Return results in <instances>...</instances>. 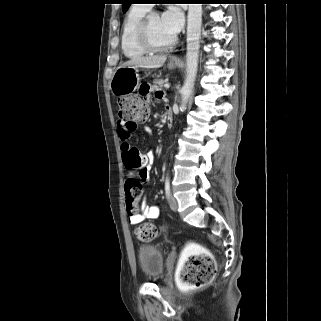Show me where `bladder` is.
Instances as JSON below:
<instances>
[{"label":"bladder","instance_id":"obj_1","mask_svg":"<svg viewBox=\"0 0 321 321\" xmlns=\"http://www.w3.org/2000/svg\"><path fill=\"white\" fill-rule=\"evenodd\" d=\"M138 262L147 279L157 281L162 278L164 272L163 255L154 245L145 244L139 247Z\"/></svg>","mask_w":321,"mask_h":321}]
</instances>
